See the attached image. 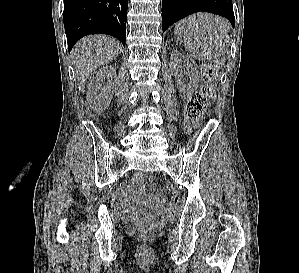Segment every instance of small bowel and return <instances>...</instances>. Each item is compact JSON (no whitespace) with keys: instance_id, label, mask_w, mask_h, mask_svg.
Returning <instances> with one entry per match:
<instances>
[{"instance_id":"1","label":"small bowel","mask_w":299,"mask_h":273,"mask_svg":"<svg viewBox=\"0 0 299 273\" xmlns=\"http://www.w3.org/2000/svg\"><path fill=\"white\" fill-rule=\"evenodd\" d=\"M142 199L146 204H148L153 209L155 216H157V217L165 216L166 207H165V203L163 200H161L155 196H152V195L144 196ZM123 209L126 212V214H128L129 216H134L137 214V211L133 206L132 198H127L124 201Z\"/></svg>"}]
</instances>
